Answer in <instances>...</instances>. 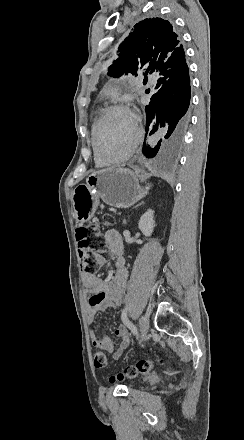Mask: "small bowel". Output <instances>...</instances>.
<instances>
[{
	"label": "small bowel",
	"instance_id": "1",
	"mask_svg": "<svg viewBox=\"0 0 244 440\" xmlns=\"http://www.w3.org/2000/svg\"><path fill=\"white\" fill-rule=\"evenodd\" d=\"M105 240L109 250L115 255V274L110 280H104L89 273L83 275L84 286L89 292L86 314L90 322L98 312L118 309L123 303L127 289L128 272L122 255V238L118 231L110 229L105 233ZM115 334L120 338L118 345L105 334H99L92 328L89 330L92 345L113 354L114 358L118 360L130 347L131 337L123 325L115 329Z\"/></svg>",
	"mask_w": 244,
	"mask_h": 440
}]
</instances>
